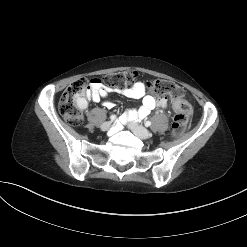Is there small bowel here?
<instances>
[{"instance_id": "small-bowel-1", "label": "small bowel", "mask_w": 247, "mask_h": 247, "mask_svg": "<svg viewBox=\"0 0 247 247\" xmlns=\"http://www.w3.org/2000/svg\"><path fill=\"white\" fill-rule=\"evenodd\" d=\"M110 89L96 79L90 81V86L88 90V99L90 98L93 102H100L104 99ZM118 92L123 96L131 99H141L142 105L135 109H128L122 116L121 121L126 123L130 120H138L146 118L150 112L155 108H166L168 105V100L166 97H154L146 93V86L143 82H134L130 87H125L119 89ZM104 107L111 109L114 104L109 101L103 102Z\"/></svg>"}]
</instances>
